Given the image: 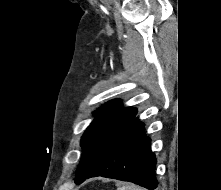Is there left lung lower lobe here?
Returning a JSON list of instances; mask_svg holds the SVG:
<instances>
[{"label": "left lung lower lobe", "mask_w": 221, "mask_h": 190, "mask_svg": "<svg viewBox=\"0 0 221 190\" xmlns=\"http://www.w3.org/2000/svg\"><path fill=\"white\" fill-rule=\"evenodd\" d=\"M144 126L134 117L111 141L90 172L75 183L103 176L130 181L154 190L158 185L155 177L156 157L151 152V140L146 136Z\"/></svg>", "instance_id": "0a47b994"}]
</instances>
